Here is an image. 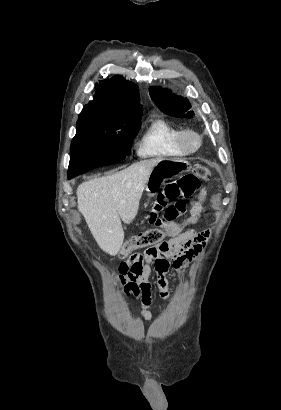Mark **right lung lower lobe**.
Segmentation results:
<instances>
[{"label": "right lung lower lobe", "instance_id": "98d812e1", "mask_svg": "<svg viewBox=\"0 0 281 410\" xmlns=\"http://www.w3.org/2000/svg\"><path fill=\"white\" fill-rule=\"evenodd\" d=\"M68 178H69V179H71V178H72V176H68Z\"/></svg>", "mask_w": 281, "mask_h": 410}]
</instances>
